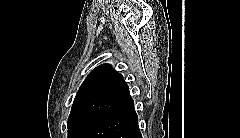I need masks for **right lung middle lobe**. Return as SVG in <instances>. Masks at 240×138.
<instances>
[{
    "mask_svg": "<svg viewBox=\"0 0 240 138\" xmlns=\"http://www.w3.org/2000/svg\"><path fill=\"white\" fill-rule=\"evenodd\" d=\"M108 115L82 113L68 118V138H86L87 135Z\"/></svg>",
    "mask_w": 240,
    "mask_h": 138,
    "instance_id": "obj_1",
    "label": "right lung middle lobe"
}]
</instances>
